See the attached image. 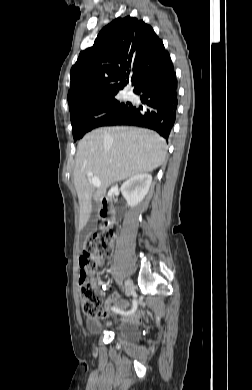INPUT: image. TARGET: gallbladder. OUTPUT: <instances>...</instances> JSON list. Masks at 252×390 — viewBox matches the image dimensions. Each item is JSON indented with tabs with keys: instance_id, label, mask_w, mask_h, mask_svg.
<instances>
[{
	"instance_id": "gallbladder-1",
	"label": "gallbladder",
	"mask_w": 252,
	"mask_h": 390,
	"mask_svg": "<svg viewBox=\"0 0 252 390\" xmlns=\"http://www.w3.org/2000/svg\"><path fill=\"white\" fill-rule=\"evenodd\" d=\"M95 209H93V213L91 214L88 222L80 231L81 239H86L90 234H92L97 228V214L95 213Z\"/></svg>"
}]
</instances>
